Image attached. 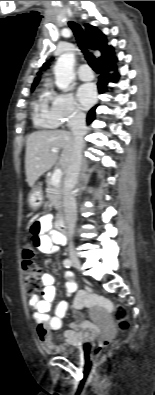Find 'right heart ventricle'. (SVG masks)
Segmentation results:
<instances>
[{
	"label": "right heart ventricle",
	"instance_id": "e07e8e85",
	"mask_svg": "<svg viewBox=\"0 0 155 395\" xmlns=\"http://www.w3.org/2000/svg\"><path fill=\"white\" fill-rule=\"evenodd\" d=\"M51 95L48 89H43L33 104V121L39 128L50 129L55 127L49 107Z\"/></svg>",
	"mask_w": 155,
	"mask_h": 395
}]
</instances>
